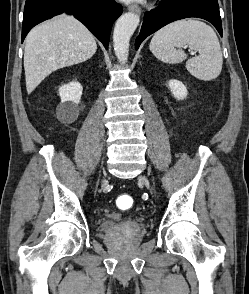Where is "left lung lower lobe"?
Returning <instances> with one entry per match:
<instances>
[{"instance_id": "0a47b994", "label": "left lung lower lobe", "mask_w": 249, "mask_h": 294, "mask_svg": "<svg viewBox=\"0 0 249 294\" xmlns=\"http://www.w3.org/2000/svg\"><path fill=\"white\" fill-rule=\"evenodd\" d=\"M141 32L135 41L138 49L149 35L178 19L198 17L212 23L222 36V23L217 0H162L160 7L145 12Z\"/></svg>"}]
</instances>
